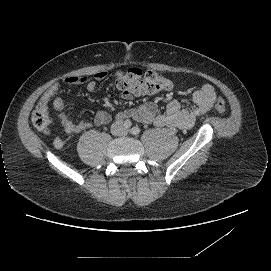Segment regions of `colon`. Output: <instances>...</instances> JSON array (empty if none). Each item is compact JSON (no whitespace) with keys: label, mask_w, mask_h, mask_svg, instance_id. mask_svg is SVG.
I'll return each mask as SVG.
<instances>
[{"label":"colon","mask_w":271,"mask_h":271,"mask_svg":"<svg viewBox=\"0 0 271 271\" xmlns=\"http://www.w3.org/2000/svg\"><path fill=\"white\" fill-rule=\"evenodd\" d=\"M117 87L122 92L131 95H153L170 88V82L156 71L143 72L132 67L117 80ZM214 106L219 113H226L227 107L223 99L217 98ZM32 123L40 131L46 132L51 123L52 116L47 101H40L32 114Z\"/></svg>","instance_id":"obj_1"}]
</instances>
